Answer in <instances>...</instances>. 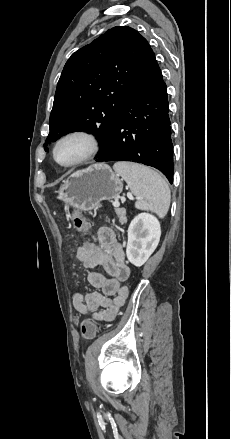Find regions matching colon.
Here are the masks:
<instances>
[{
  "label": "colon",
  "instance_id": "obj_1",
  "mask_svg": "<svg viewBox=\"0 0 231 439\" xmlns=\"http://www.w3.org/2000/svg\"><path fill=\"white\" fill-rule=\"evenodd\" d=\"M73 223L74 226L77 230H84L87 227V224L85 222V220L78 214L75 213L73 216ZM76 262L78 264L84 265L87 262V256L86 255H81L80 257H78L76 259ZM96 324L90 320L87 319L82 323V334L86 339H92L95 337L96 335Z\"/></svg>",
  "mask_w": 231,
  "mask_h": 439
}]
</instances>
